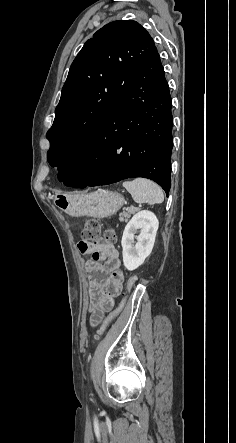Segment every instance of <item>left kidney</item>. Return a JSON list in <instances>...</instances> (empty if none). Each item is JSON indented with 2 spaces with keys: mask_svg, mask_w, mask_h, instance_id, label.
<instances>
[{
  "mask_svg": "<svg viewBox=\"0 0 236 443\" xmlns=\"http://www.w3.org/2000/svg\"><path fill=\"white\" fill-rule=\"evenodd\" d=\"M158 227L157 217L148 210L138 212L128 222L121 241L123 263L126 269L129 271L137 269L151 254ZM138 230L139 234L136 236Z\"/></svg>",
  "mask_w": 236,
  "mask_h": 443,
  "instance_id": "left-kidney-1",
  "label": "left kidney"
}]
</instances>
